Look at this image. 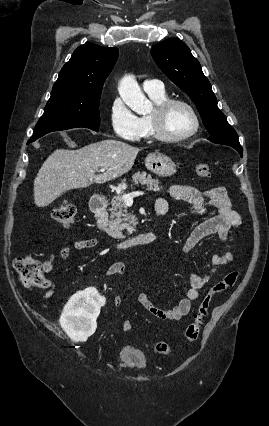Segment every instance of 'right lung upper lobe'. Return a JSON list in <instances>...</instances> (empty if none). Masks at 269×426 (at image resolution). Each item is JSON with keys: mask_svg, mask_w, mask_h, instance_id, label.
Wrapping results in <instances>:
<instances>
[{"mask_svg": "<svg viewBox=\"0 0 269 426\" xmlns=\"http://www.w3.org/2000/svg\"><path fill=\"white\" fill-rule=\"evenodd\" d=\"M118 58V49L93 43L79 46L61 69L52 93L71 97L101 95L103 84Z\"/></svg>", "mask_w": 269, "mask_h": 426, "instance_id": "right-lung-upper-lobe-1", "label": "right lung upper lobe"}]
</instances>
